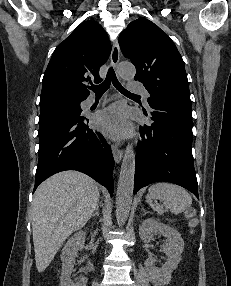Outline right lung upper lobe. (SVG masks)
Instances as JSON below:
<instances>
[{
    "mask_svg": "<svg viewBox=\"0 0 231 286\" xmlns=\"http://www.w3.org/2000/svg\"><path fill=\"white\" fill-rule=\"evenodd\" d=\"M111 45L97 21L82 22L60 43L43 77L40 108L63 102L83 101L89 95L84 82H100V67L107 61Z\"/></svg>",
    "mask_w": 231,
    "mask_h": 286,
    "instance_id": "cb5924a9",
    "label": "right lung upper lobe"
}]
</instances>
